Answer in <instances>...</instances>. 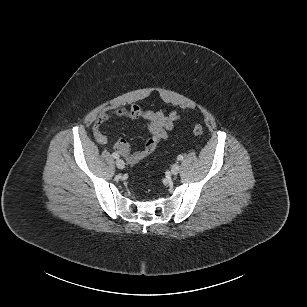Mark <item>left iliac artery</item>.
I'll use <instances>...</instances> for the list:
<instances>
[{"mask_svg": "<svg viewBox=\"0 0 307 307\" xmlns=\"http://www.w3.org/2000/svg\"><path fill=\"white\" fill-rule=\"evenodd\" d=\"M177 159H178L179 161H182V160H183V156H182V155H178Z\"/></svg>", "mask_w": 307, "mask_h": 307, "instance_id": "44dca946", "label": "left iliac artery"}]
</instances>
